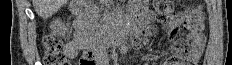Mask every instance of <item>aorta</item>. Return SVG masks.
I'll return each mask as SVG.
<instances>
[{"mask_svg": "<svg viewBox=\"0 0 232 65\" xmlns=\"http://www.w3.org/2000/svg\"><path fill=\"white\" fill-rule=\"evenodd\" d=\"M125 23H126V26H125V35L128 36L130 34V26H131V17L130 15H125Z\"/></svg>", "mask_w": 232, "mask_h": 65, "instance_id": "762f6f07", "label": "aorta"}]
</instances>
